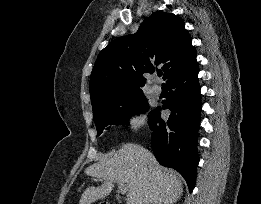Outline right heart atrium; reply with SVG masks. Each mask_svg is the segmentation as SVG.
Here are the masks:
<instances>
[{
  "label": "right heart atrium",
  "instance_id": "right-heart-atrium-1",
  "mask_svg": "<svg viewBox=\"0 0 261 204\" xmlns=\"http://www.w3.org/2000/svg\"><path fill=\"white\" fill-rule=\"evenodd\" d=\"M144 124V118L139 108L133 107L126 114V125L131 132L138 131Z\"/></svg>",
  "mask_w": 261,
  "mask_h": 204
}]
</instances>
